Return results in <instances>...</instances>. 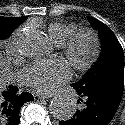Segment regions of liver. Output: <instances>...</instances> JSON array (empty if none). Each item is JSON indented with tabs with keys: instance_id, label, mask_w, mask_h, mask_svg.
<instances>
[{
	"instance_id": "obj_1",
	"label": "liver",
	"mask_w": 125,
	"mask_h": 125,
	"mask_svg": "<svg viewBox=\"0 0 125 125\" xmlns=\"http://www.w3.org/2000/svg\"><path fill=\"white\" fill-rule=\"evenodd\" d=\"M5 72H6V70H5V66H4L3 56L0 53V89H2V87L5 85V82L3 79Z\"/></svg>"
}]
</instances>
